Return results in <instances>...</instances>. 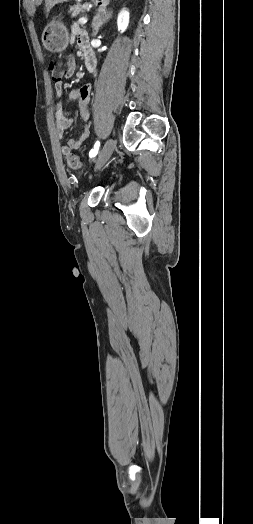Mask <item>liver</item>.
Listing matches in <instances>:
<instances>
[{
    "label": "liver",
    "mask_w": 253,
    "mask_h": 524,
    "mask_svg": "<svg viewBox=\"0 0 253 524\" xmlns=\"http://www.w3.org/2000/svg\"><path fill=\"white\" fill-rule=\"evenodd\" d=\"M69 0H45V6L47 13L58 3L67 2Z\"/></svg>",
    "instance_id": "obj_1"
}]
</instances>
